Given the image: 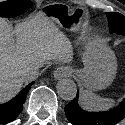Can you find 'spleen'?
Here are the masks:
<instances>
[{
  "label": "spleen",
  "instance_id": "spleen-1",
  "mask_svg": "<svg viewBox=\"0 0 125 125\" xmlns=\"http://www.w3.org/2000/svg\"><path fill=\"white\" fill-rule=\"evenodd\" d=\"M80 103L87 110L100 111L109 109L114 105L115 101L108 98H102L91 91L84 90L81 92Z\"/></svg>",
  "mask_w": 125,
  "mask_h": 125
}]
</instances>
